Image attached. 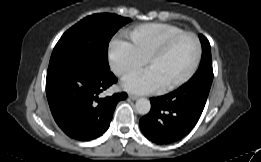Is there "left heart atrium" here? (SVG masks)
Returning <instances> with one entry per match:
<instances>
[{
    "label": "left heart atrium",
    "mask_w": 261,
    "mask_h": 162,
    "mask_svg": "<svg viewBox=\"0 0 261 162\" xmlns=\"http://www.w3.org/2000/svg\"><path fill=\"white\" fill-rule=\"evenodd\" d=\"M122 87L132 93L148 94L160 90L163 86L151 69H146L142 73L125 78Z\"/></svg>",
    "instance_id": "left-heart-atrium-1"
}]
</instances>
